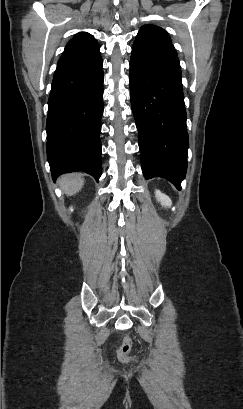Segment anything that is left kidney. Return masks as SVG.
I'll return each instance as SVG.
<instances>
[{
  "mask_svg": "<svg viewBox=\"0 0 243 409\" xmlns=\"http://www.w3.org/2000/svg\"><path fill=\"white\" fill-rule=\"evenodd\" d=\"M155 196H156L157 200L161 203V205H163L165 207H170L171 206L172 202H171L170 198L167 195L161 193L159 190H156L155 191Z\"/></svg>",
  "mask_w": 243,
  "mask_h": 409,
  "instance_id": "1",
  "label": "left kidney"
}]
</instances>
